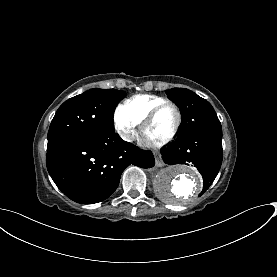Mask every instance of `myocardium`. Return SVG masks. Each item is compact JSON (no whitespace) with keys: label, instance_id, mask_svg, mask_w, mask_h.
Instances as JSON below:
<instances>
[{"label":"myocardium","instance_id":"f54148a6","mask_svg":"<svg viewBox=\"0 0 277 277\" xmlns=\"http://www.w3.org/2000/svg\"><path fill=\"white\" fill-rule=\"evenodd\" d=\"M166 107H173L176 111L177 114V121L176 124L173 128V130L171 131V133L165 137L164 139L157 141V142H151L152 146H162L164 144L169 143L170 141H172L175 136L177 135L182 121H183V115L181 112V109L179 108V106L173 102L167 101V102H163L157 106H155L147 115V117L145 118V120L143 121L142 125H141V134L142 136H145V132L146 130L154 123V121L156 120V118L158 117V115L160 114V112L165 109Z\"/></svg>","mask_w":277,"mask_h":277}]
</instances>
